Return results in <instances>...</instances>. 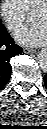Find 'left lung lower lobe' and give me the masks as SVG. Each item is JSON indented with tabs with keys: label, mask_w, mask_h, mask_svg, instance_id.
<instances>
[{
	"label": "left lung lower lobe",
	"mask_w": 47,
	"mask_h": 129,
	"mask_svg": "<svg viewBox=\"0 0 47 129\" xmlns=\"http://www.w3.org/2000/svg\"><path fill=\"white\" fill-rule=\"evenodd\" d=\"M44 80H45V85L47 87V75L44 76Z\"/></svg>",
	"instance_id": "obj_1"
}]
</instances>
